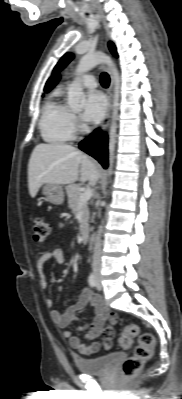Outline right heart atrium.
I'll use <instances>...</instances> for the list:
<instances>
[{"label": "right heart atrium", "mask_w": 182, "mask_h": 399, "mask_svg": "<svg viewBox=\"0 0 182 399\" xmlns=\"http://www.w3.org/2000/svg\"><path fill=\"white\" fill-rule=\"evenodd\" d=\"M71 123L74 130H77L80 127L79 120L75 115H71Z\"/></svg>", "instance_id": "d8ad5b80"}]
</instances>
